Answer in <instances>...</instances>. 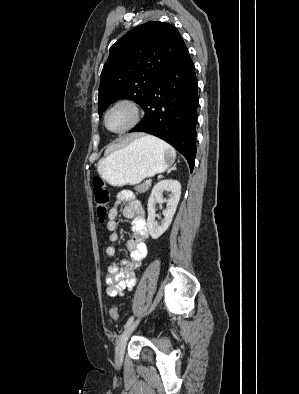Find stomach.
<instances>
[{
    "label": "stomach",
    "mask_w": 299,
    "mask_h": 394,
    "mask_svg": "<svg viewBox=\"0 0 299 394\" xmlns=\"http://www.w3.org/2000/svg\"><path fill=\"white\" fill-rule=\"evenodd\" d=\"M175 155L153 137L136 138L128 145L107 153L97 164L101 177L114 186L136 185L147 177L167 170Z\"/></svg>",
    "instance_id": "stomach-1"
}]
</instances>
